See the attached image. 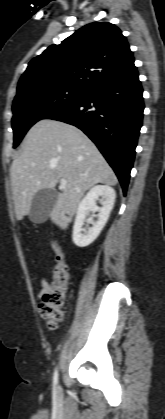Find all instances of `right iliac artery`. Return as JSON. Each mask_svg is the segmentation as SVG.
<instances>
[{"instance_id":"82829eb1","label":"right iliac artery","mask_w":165,"mask_h":419,"mask_svg":"<svg viewBox=\"0 0 165 419\" xmlns=\"http://www.w3.org/2000/svg\"><path fill=\"white\" fill-rule=\"evenodd\" d=\"M53 384H54V386H55V387H56V386H57V384H58V370H57V368H56V369H55V371H54Z\"/></svg>"}]
</instances>
